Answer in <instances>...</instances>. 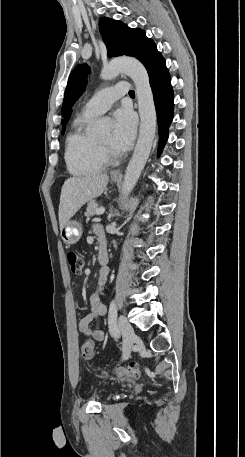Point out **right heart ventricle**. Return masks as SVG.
I'll use <instances>...</instances> for the list:
<instances>
[{
    "instance_id": "1",
    "label": "right heart ventricle",
    "mask_w": 245,
    "mask_h": 457,
    "mask_svg": "<svg viewBox=\"0 0 245 457\" xmlns=\"http://www.w3.org/2000/svg\"><path fill=\"white\" fill-rule=\"evenodd\" d=\"M91 117L83 116L75 120L66 138V160L74 174L87 173L102 169L106 162L96 159L91 153L92 134L88 131Z\"/></svg>"
}]
</instances>
